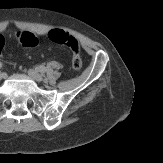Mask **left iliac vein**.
<instances>
[{"mask_svg":"<svg viewBox=\"0 0 163 163\" xmlns=\"http://www.w3.org/2000/svg\"><path fill=\"white\" fill-rule=\"evenodd\" d=\"M28 75L30 78H32L33 80L37 81V82H41L43 80L42 75H40L36 70L34 69H30L28 71Z\"/></svg>","mask_w":163,"mask_h":163,"instance_id":"4c4485c4","label":"left iliac vein"}]
</instances>
